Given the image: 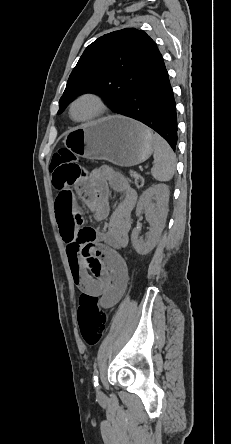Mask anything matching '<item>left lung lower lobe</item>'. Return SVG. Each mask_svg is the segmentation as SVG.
Here are the masks:
<instances>
[{
  "instance_id": "0a47b994",
  "label": "left lung lower lobe",
  "mask_w": 231,
  "mask_h": 444,
  "mask_svg": "<svg viewBox=\"0 0 231 444\" xmlns=\"http://www.w3.org/2000/svg\"><path fill=\"white\" fill-rule=\"evenodd\" d=\"M118 113L149 126L175 151L177 145L175 100L160 52L142 71L126 104Z\"/></svg>"
}]
</instances>
